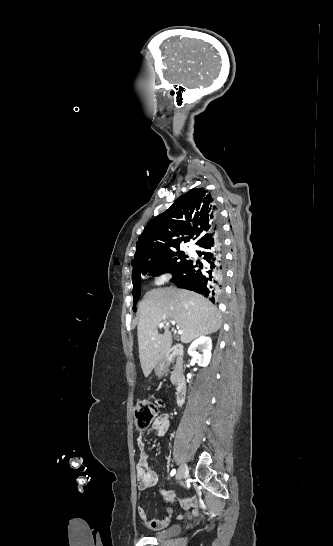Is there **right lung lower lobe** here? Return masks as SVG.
Wrapping results in <instances>:
<instances>
[{"label": "right lung lower lobe", "mask_w": 333, "mask_h": 546, "mask_svg": "<svg viewBox=\"0 0 333 546\" xmlns=\"http://www.w3.org/2000/svg\"><path fill=\"white\" fill-rule=\"evenodd\" d=\"M196 245L205 250L198 252L200 256L204 255V263L189 259L173 275L171 282L180 288L202 294L214 302L222 290L225 277V252L220 228L215 225L214 229L202 237Z\"/></svg>", "instance_id": "right-lung-lower-lobe-1"}]
</instances>
